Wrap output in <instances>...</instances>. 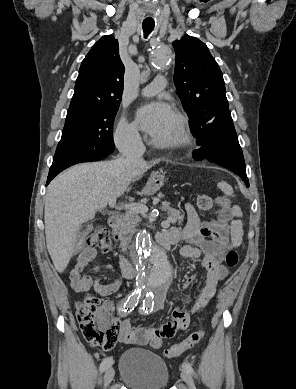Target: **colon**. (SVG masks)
Returning <instances> with one entry per match:
<instances>
[{
  "label": "colon",
  "instance_id": "5ec220e1",
  "mask_svg": "<svg viewBox=\"0 0 296 389\" xmlns=\"http://www.w3.org/2000/svg\"><path fill=\"white\" fill-rule=\"evenodd\" d=\"M200 211L207 212L213 206V200L209 195L202 194L197 199ZM89 247L98 248L107 252L111 247V241L107 229L99 227L88 237ZM226 265L234 268L239 262V255L234 250H228L225 255ZM77 320L83 337L87 342L103 350H111L117 343L120 334V324L111 319L109 311L100 304L97 297L86 295L77 305ZM205 333L202 329L193 331L186 339L174 344L165 350L168 358L178 357L185 351L198 344Z\"/></svg>",
  "mask_w": 296,
  "mask_h": 389
}]
</instances>
